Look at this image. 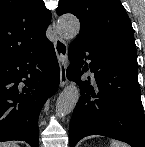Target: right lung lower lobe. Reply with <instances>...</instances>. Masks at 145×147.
<instances>
[{
    "mask_svg": "<svg viewBox=\"0 0 145 147\" xmlns=\"http://www.w3.org/2000/svg\"><path fill=\"white\" fill-rule=\"evenodd\" d=\"M60 70L49 40L0 64V142L21 140L39 147L38 117L58 89ZM25 86H19V83Z\"/></svg>",
    "mask_w": 145,
    "mask_h": 147,
    "instance_id": "98d812e1",
    "label": "right lung lower lobe"
}]
</instances>
